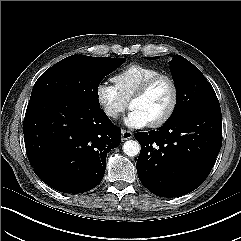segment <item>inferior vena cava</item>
Masks as SVG:
<instances>
[{
  "mask_svg": "<svg viewBox=\"0 0 241 241\" xmlns=\"http://www.w3.org/2000/svg\"><path fill=\"white\" fill-rule=\"evenodd\" d=\"M108 115L111 117H116L117 113L115 111L111 110V111H108Z\"/></svg>",
  "mask_w": 241,
  "mask_h": 241,
  "instance_id": "inferior-vena-cava-1",
  "label": "inferior vena cava"
}]
</instances>
